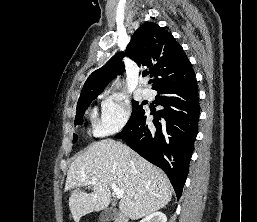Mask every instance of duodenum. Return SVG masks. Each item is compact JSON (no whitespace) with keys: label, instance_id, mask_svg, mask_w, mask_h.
Instances as JSON below:
<instances>
[{"label":"duodenum","instance_id":"duodenum-1","mask_svg":"<svg viewBox=\"0 0 257 222\" xmlns=\"http://www.w3.org/2000/svg\"><path fill=\"white\" fill-rule=\"evenodd\" d=\"M114 222H130L128 217L123 213H118Z\"/></svg>","mask_w":257,"mask_h":222}]
</instances>
